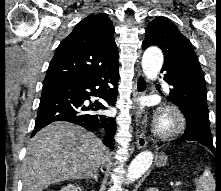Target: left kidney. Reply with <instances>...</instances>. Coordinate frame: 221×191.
Here are the masks:
<instances>
[{
    "label": "left kidney",
    "instance_id": "1",
    "mask_svg": "<svg viewBox=\"0 0 221 191\" xmlns=\"http://www.w3.org/2000/svg\"><path fill=\"white\" fill-rule=\"evenodd\" d=\"M146 191H159V190L156 189V188H149V189H147Z\"/></svg>",
    "mask_w": 221,
    "mask_h": 191
}]
</instances>
